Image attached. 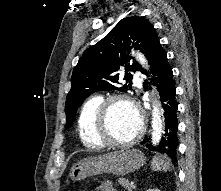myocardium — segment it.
<instances>
[{"label": "myocardium", "instance_id": "obj_1", "mask_svg": "<svg viewBox=\"0 0 221 191\" xmlns=\"http://www.w3.org/2000/svg\"><path fill=\"white\" fill-rule=\"evenodd\" d=\"M125 103L131 106L139 116L140 124L135 135L127 141H115L110 136L109 131V114L111 107L116 103ZM145 131V118L139 104L131 97L119 94L113 95L105 99L97 111L96 117V135L99 139V143L104 147L112 148H126L136 144Z\"/></svg>", "mask_w": 221, "mask_h": 191}]
</instances>
